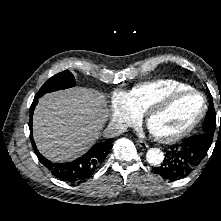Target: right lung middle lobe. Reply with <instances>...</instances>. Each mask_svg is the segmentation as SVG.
Masks as SVG:
<instances>
[{
	"label": "right lung middle lobe",
	"mask_w": 221,
	"mask_h": 221,
	"mask_svg": "<svg viewBox=\"0 0 221 221\" xmlns=\"http://www.w3.org/2000/svg\"><path fill=\"white\" fill-rule=\"evenodd\" d=\"M73 86H75L74 76L68 70H65L48 79L40 88L37 96L41 97L47 92L66 89Z\"/></svg>",
	"instance_id": "dd1d6c3e"
}]
</instances>
